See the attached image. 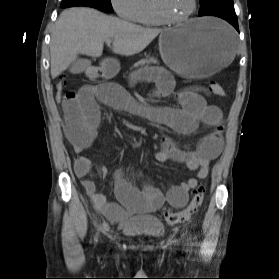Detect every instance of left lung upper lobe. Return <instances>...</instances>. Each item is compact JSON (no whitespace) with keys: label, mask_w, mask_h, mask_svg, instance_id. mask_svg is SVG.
<instances>
[{"label":"left lung upper lobe","mask_w":279,"mask_h":279,"mask_svg":"<svg viewBox=\"0 0 279 279\" xmlns=\"http://www.w3.org/2000/svg\"><path fill=\"white\" fill-rule=\"evenodd\" d=\"M201 9L199 16L222 8H234L233 0H199Z\"/></svg>","instance_id":"left-lung-upper-lobe-1"}]
</instances>
